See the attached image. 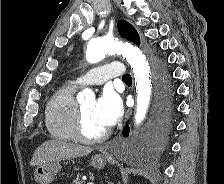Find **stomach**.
I'll use <instances>...</instances> for the list:
<instances>
[{
    "mask_svg": "<svg viewBox=\"0 0 224 184\" xmlns=\"http://www.w3.org/2000/svg\"><path fill=\"white\" fill-rule=\"evenodd\" d=\"M107 160V156L96 154L91 158V165L96 169H102L105 167ZM60 170L61 165L58 161L45 163L37 166L34 172V177L39 184H50Z\"/></svg>",
    "mask_w": 224,
    "mask_h": 184,
    "instance_id": "stomach-1",
    "label": "stomach"
}]
</instances>
